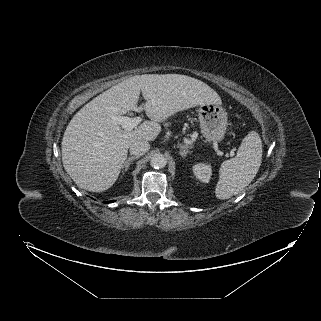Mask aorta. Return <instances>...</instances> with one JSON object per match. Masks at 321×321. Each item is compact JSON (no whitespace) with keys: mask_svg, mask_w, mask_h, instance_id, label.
I'll list each match as a JSON object with an SVG mask.
<instances>
[{"mask_svg":"<svg viewBox=\"0 0 321 321\" xmlns=\"http://www.w3.org/2000/svg\"><path fill=\"white\" fill-rule=\"evenodd\" d=\"M167 164V159L163 154L156 153L151 157L150 165L155 169L164 168Z\"/></svg>","mask_w":321,"mask_h":321,"instance_id":"762f6f07","label":"aorta"}]
</instances>
